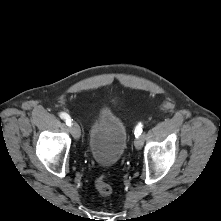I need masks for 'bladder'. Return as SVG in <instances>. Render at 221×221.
Here are the masks:
<instances>
[{"label":"bladder","instance_id":"obj_1","mask_svg":"<svg viewBox=\"0 0 221 221\" xmlns=\"http://www.w3.org/2000/svg\"><path fill=\"white\" fill-rule=\"evenodd\" d=\"M127 145L124 121L110 110H100L88 136L89 152L102 166H112L122 157Z\"/></svg>","mask_w":221,"mask_h":221}]
</instances>
